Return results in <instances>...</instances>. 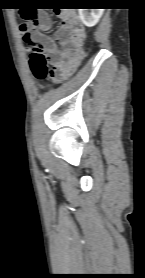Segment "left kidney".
<instances>
[{
	"mask_svg": "<svg viewBox=\"0 0 145 278\" xmlns=\"http://www.w3.org/2000/svg\"><path fill=\"white\" fill-rule=\"evenodd\" d=\"M78 9L80 18L85 26L93 27L95 26L99 19L101 18L104 9Z\"/></svg>",
	"mask_w": 145,
	"mask_h": 278,
	"instance_id": "5707ae66",
	"label": "left kidney"
}]
</instances>
